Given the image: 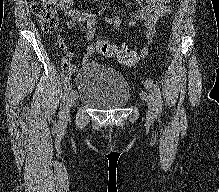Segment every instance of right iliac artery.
I'll return each instance as SVG.
<instances>
[{
	"mask_svg": "<svg viewBox=\"0 0 219 192\" xmlns=\"http://www.w3.org/2000/svg\"><path fill=\"white\" fill-rule=\"evenodd\" d=\"M69 82H70V78L65 77L64 80H63L64 85L66 86Z\"/></svg>",
	"mask_w": 219,
	"mask_h": 192,
	"instance_id": "obj_1",
	"label": "right iliac artery"
}]
</instances>
